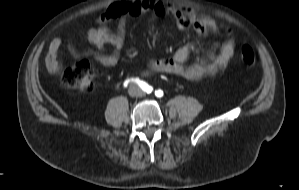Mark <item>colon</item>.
Segmentation results:
<instances>
[{
  "instance_id": "1",
  "label": "colon",
  "mask_w": 299,
  "mask_h": 190,
  "mask_svg": "<svg viewBox=\"0 0 299 190\" xmlns=\"http://www.w3.org/2000/svg\"><path fill=\"white\" fill-rule=\"evenodd\" d=\"M240 59L247 65L251 66L255 62V53L253 49L244 45L240 50ZM64 83L83 93H89L93 90V71L86 60H80L68 67L63 73Z\"/></svg>"
}]
</instances>
